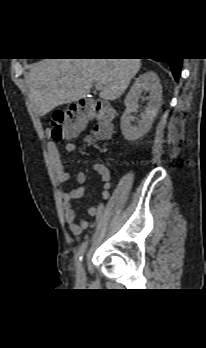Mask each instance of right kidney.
<instances>
[{
	"instance_id": "obj_1",
	"label": "right kidney",
	"mask_w": 206,
	"mask_h": 348,
	"mask_svg": "<svg viewBox=\"0 0 206 348\" xmlns=\"http://www.w3.org/2000/svg\"><path fill=\"white\" fill-rule=\"evenodd\" d=\"M143 91L149 93L146 97L148 100L147 107L145 108V112L140 115L141 120L133 125L131 123V113L137 110L138 100ZM161 100L162 86L156 73L148 71L135 79V82L124 100L126 110L121 117V131L126 140L135 141L150 130L158 109L161 106Z\"/></svg>"
}]
</instances>
